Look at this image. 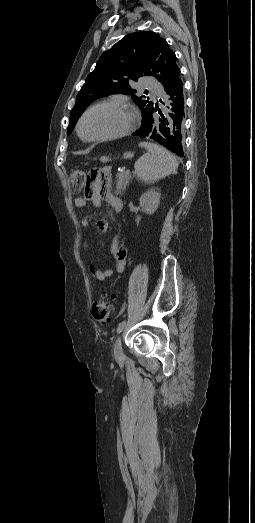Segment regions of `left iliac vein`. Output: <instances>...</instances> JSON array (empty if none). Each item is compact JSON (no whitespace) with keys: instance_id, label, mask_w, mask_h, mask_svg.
<instances>
[{"instance_id":"obj_1","label":"left iliac vein","mask_w":255,"mask_h":523,"mask_svg":"<svg viewBox=\"0 0 255 523\" xmlns=\"http://www.w3.org/2000/svg\"><path fill=\"white\" fill-rule=\"evenodd\" d=\"M114 356L117 360H122L124 353L122 350L121 336H119L114 345Z\"/></svg>"}]
</instances>
